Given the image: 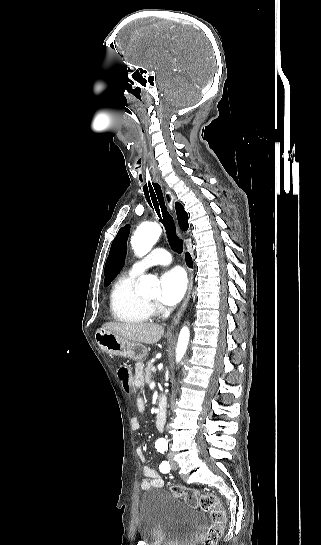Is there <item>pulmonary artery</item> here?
I'll list each match as a JSON object with an SVG mask.
<instances>
[{
    "instance_id": "e3ab8cb5",
    "label": "pulmonary artery",
    "mask_w": 321,
    "mask_h": 545,
    "mask_svg": "<svg viewBox=\"0 0 321 545\" xmlns=\"http://www.w3.org/2000/svg\"><path fill=\"white\" fill-rule=\"evenodd\" d=\"M169 253L165 249L155 248L150 249L140 260L135 261L129 271L135 275L143 273L148 267L153 265H167L170 264L172 259L169 258Z\"/></svg>"
}]
</instances>
